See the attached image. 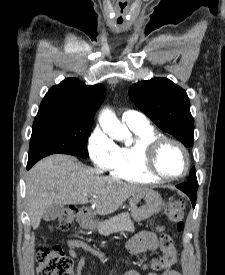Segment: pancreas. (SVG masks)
Here are the masks:
<instances>
[{
  "label": "pancreas",
  "mask_w": 225,
  "mask_h": 275,
  "mask_svg": "<svg viewBox=\"0 0 225 275\" xmlns=\"http://www.w3.org/2000/svg\"><path fill=\"white\" fill-rule=\"evenodd\" d=\"M134 224L129 213H121L98 225V231L102 235H110L121 231L134 232Z\"/></svg>",
  "instance_id": "obj_1"
}]
</instances>
